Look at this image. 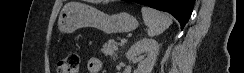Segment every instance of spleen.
I'll return each mask as SVG.
<instances>
[{"instance_id":"spleen-1","label":"spleen","mask_w":244,"mask_h":73,"mask_svg":"<svg viewBox=\"0 0 244 73\" xmlns=\"http://www.w3.org/2000/svg\"><path fill=\"white\" fill-rule=\"evenodd\" d=\"M142 17L145 25L148 27V36L155 37L163 33L172 24L170 15L152 9L150 7H142Z\"/></svg>"}]
</instances>
